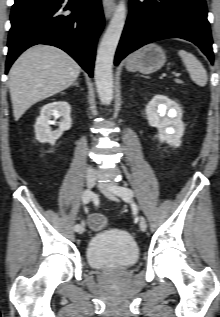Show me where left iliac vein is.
<instances>
[{
	"label": "left iliac vein",
	"instance_id": "1",
	"mask_svg": "<svg viewBox=\"0 0 220 317\" xmlns=\"http://www.w3.org/2000/svg\"><path fill=\"white\" fill-rule=\"evenodd\" d=\"M96 185L104 195H106L107 197L111 199L117 200L115 195H116V188L119 187L118 185L110 184V183H102V182H99ZM139 225L142 231H146L147 222H146V219L142 216L139 219Z\"/></svg>",
	"mask_w": 220,
	"mask_h": 317
}]
</instances>
